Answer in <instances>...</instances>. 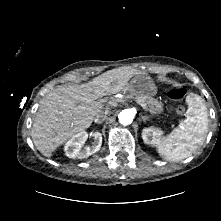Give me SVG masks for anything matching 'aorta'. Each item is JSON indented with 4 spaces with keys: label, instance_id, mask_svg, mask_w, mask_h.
I'll return each instance as SVG.
<instances>
[{
    "label": "aorta",
    "instance_id": "aorta-1",
    "mask_svg": "<svg viewBox=\"0 0 221 221\" xmlns=\"http://www.w3.org/2000/svg\"><path fill=\"white\" fill-rule=\"evenodd\" d=\"M134 115L135 114L131 109H124L118 115L119 122L122 125H129L132 123Z\"/></svg>",
    "mask_w": 221,
    "mask_h": 221
}]
</instances>
